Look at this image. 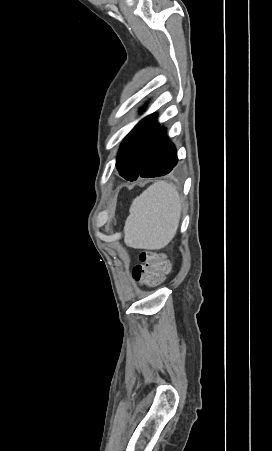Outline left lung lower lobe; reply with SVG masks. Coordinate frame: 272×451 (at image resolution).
<instances>
[{
  "label": "left lung lower lobe",
  "instance_id": "1",
  "mask_svg": "<svg viewBox=\"0 0 272 451\" xmlns=\"http://www.w3.org/2000/svg\"><path fill=\"white\" fill-rule=\"evenodd\" d=\"M176 148L168 140L166 129L159 127L151 141L143 165L136 177L126 178L135 181L138 177L153 178L170 173L177 165Z\"/></svg>",
  "mask_w": 272,
  "mask_h": 451
}]
</instances>
